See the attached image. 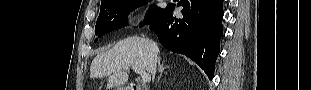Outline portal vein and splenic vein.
<instances>
[{"label":"portal vein and splenic vein","mask_w":311,"mask_h":90,"mask_svg":"<svg viewBox=\"0 0 311 90\" xmlns=\"http://www.w3.org/2000/svg\"><path fill=\"white\" fill-rule=\"evenodd\" d=\"M132 70L142 77L143 82H150V80H151L150 74L146 73L144 70H142L138 67H132Z\"/></svg>","instance_id":"1"}]
</instances>
